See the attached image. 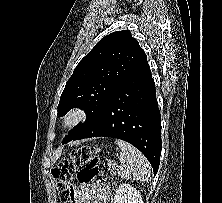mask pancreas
<instances>
[{"instance_id":"obj_1","label":"pancreas","mask_w":222,"mask_h":203,"mask_svg":"<svg viewBox=\"0 0 222 203\" xmlns=\"http://www.w3.org/2000/svg\"><path fill=\"white\" fill-rule=\"evenodd\" d=\"M109 171H110V174L112 175V176H115V174H116V165L115 164H113V165H111V166H109Z\"/></svg>"}]
</instances>
